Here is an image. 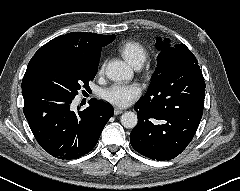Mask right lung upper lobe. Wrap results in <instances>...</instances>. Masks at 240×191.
Listing matches in <instances>:
<instances>
[{
	"instance_id": "right-lung-upper-lobe-1",
	"label": "right lung upper lobe",
	"mask_w": 240,
	"mask_h": 191,
	"mask_svg": "<svg viewBox=\"0 0 240 191\" xmlns=\"http://www.w3.org/2000/svg\"><path fill=\"white\" fill-rule=\"evenodd\" d=\"M115 35L73 32L56 37L43 45L30 60L27 71L48 57L74 62H99L101 48L111 43ZM26 71V72H27Z\"/></svg>"
}]
</instances>
